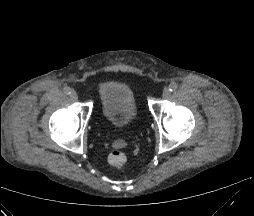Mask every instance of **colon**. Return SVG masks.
<instances>
[{"label":"colon","instance_id":"colon-1","mask_svg":"<svg viewBox=\"0 0 254 216\" xmlns=\"http://www.w3.org/2000/svg\"><path fill=\"white\" fill-rule=\"evenodd\" d=\"M108 162L115 168H121L126 162V155L120 149H115L110 153Z\"/></svg>","mask_w":254,"mask_h":216}]
</instances>
